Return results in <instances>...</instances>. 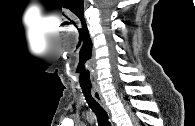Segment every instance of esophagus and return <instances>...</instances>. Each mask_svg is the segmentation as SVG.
I'll use <instances>...</instances> for the list:
<instances>
[{
  "instance_id": "obj_1",
  "label": "esophagus",
  "mask_w": 195,
  "mask_h": 126,
  "mask_svg": "<svg viewBox=\"0 0 195 126\" xmlns=\"http://www.w3.org/2000/svg\"><path fill=\"white\" fill-rule=\"evenodd\" d=\"M92 96L108 112L107 105L98 87L92 88Z\"/></svg>"
}]
</instances>
